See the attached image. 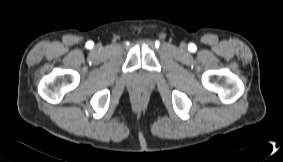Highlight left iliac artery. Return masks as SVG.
Segmentation results:
<instances>
[{
    "instance_id": "44dca946",
    "label": "left iliac artery",
    "mask_w": 283,
    "mask_h": 162,
    "mask_svg": "<svg viewBox=\"0 0 283 162\" xmlns=\"http://www.w3.org/2000/svg\"><path fill=\"white\" fill-rule=\"evenodd\" d=\"M195 45L194 44H189V50L194 51L195 50Z\"/></svg>"
}]
</instances>
